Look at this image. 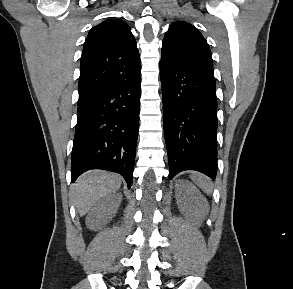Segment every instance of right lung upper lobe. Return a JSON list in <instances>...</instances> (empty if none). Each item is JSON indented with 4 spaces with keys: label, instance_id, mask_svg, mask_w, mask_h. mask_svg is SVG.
Returning <instances> with one entry per match:
<instances>
[{
    "label": "right lung upper lobe",
    "instance_id": "1",
    "mask_svg": "<svg viewBox=\"0 0 293 289\" xmlns=\"http://www.w3.org/2000/svg\"><path fill=\"white\" fill-rule=\"evenodd\" d=\"M136 44L121 20H106L91 29L81 56L78 104L141 76Z\"/></svg>",
    "mask_w": 293,
    "mask_h": 289
}]
</instances>
